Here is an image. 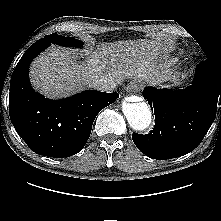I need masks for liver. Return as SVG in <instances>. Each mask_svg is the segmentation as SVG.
I'll use <instances>...</instances> for the list:
<instances>
[{
	"label": "liver",
	"mask_w": 221,
	"mask_h": 221,
	"mask_svg": "<svg viewBox=\"0 0 221 221\" xmlns=\"http://www.w3.org/2000/svg\"><path fill=\"white\" fill-rule=\"evenodd\" d=\"M163 50L160 41H117L86 51L87 60L79 64L71 52L51 46L30 67V81L41 94L61 98L75 94L93 79L111 77L116 83L134 78L149 83L165 80L157 58Z\"/></svg>",
	"instance_id": "liver-1"
}]
</instances>
